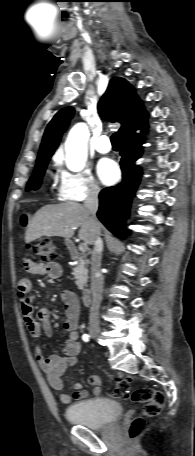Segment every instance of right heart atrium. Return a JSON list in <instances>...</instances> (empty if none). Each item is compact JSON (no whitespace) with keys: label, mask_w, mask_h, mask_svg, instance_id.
Wrapping results in <instances>:
<instances>
[{"label":"right heart atrium","mask_w":195,"mask_h":456,"mask_svg":"<svg viewBox=\"0 0 195 456\" xmlns=\"http://www.w3.org/2000/svg\"><path fill=\"white\" fill-rule=\"evenodd\" d=\"M99 193L100 187L89 171L70 172L61 170L57 186L59 200L81 202L95 198Z\"/></svg>","instance_id":"right-heart-atrium-1"}]
</instances>
